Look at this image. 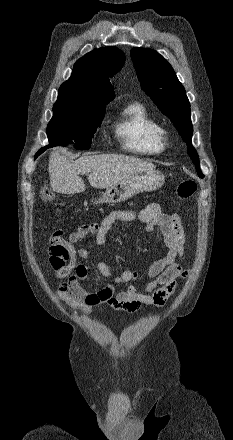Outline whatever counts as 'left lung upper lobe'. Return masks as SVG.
<instances>
[{
	"label": "left lung upper lobe",
	"mask_w": 233,
	"mask_h": 440,
	"mask_svg": "<svg viewBox=\"0 0 233 440\" xmlns=\"http://www.w3.org/2000/svg\"><path fill=\"white\" fill-rule=\"evenodd\" d=\"M130 53L141 87L161 112L172 121L187 144L188 154L195 163L197 172L201 173L199 157L191 143L193 126L190 103L173 68L154 50L133 48Z\"/></svg>",
	"instance_id": "obj_1"
}]
</instances>
